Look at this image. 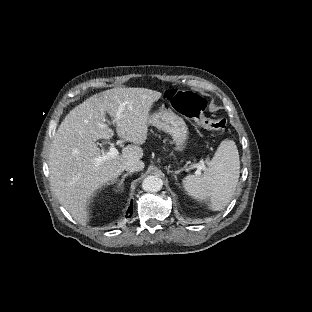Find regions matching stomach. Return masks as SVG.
<instances>
[{
    "label": "stomach",
    "instance_id": "stomach-1",
    "mask_svg": "<svg viewBox=\"0 0 312 312\" xmlns=\"http://www.w3.org/2000/svg\"><path fill=\"white\" fill-rule=\"evenodd\" d=\"M151 124L167 132L173 140L175 150L182 154L185 152L189 141V128L184 119L173 111L157 112L151 116ZM176 162L174 167H179Z\"/></svg>",
    "mask_w": 312,
    "mask_h": 312
}]
</instances>
